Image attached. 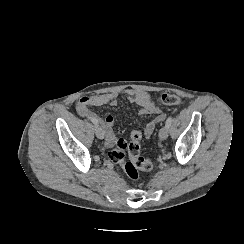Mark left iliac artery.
<instances>
[{
	"mask_svg": "<svg viewBox=\"0 0 244 244\" xmlns=\"http://www.w3.org/2000/svg\"><path fill=\"white\" fill-rule=\"evenodd\" d=\"M171 122H172V116H169L168 119L166 120L165 126L169 128L171 126Z\"/></svg>",
	"mask_w": 244,
	"mask_h": 244,
	"instance_id": "obj_1",
	"label": "left iliac artery"
}]
</instances>
